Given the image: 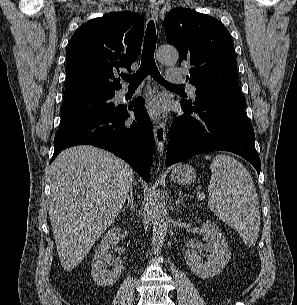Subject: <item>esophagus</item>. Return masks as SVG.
<instances>
[{
    "instance_id": "1",
    "label": "esophagus",
    "mask_w": 297,
    "mask_h": 305,
    "mask_svg": "<svg viewBox=\"0 0 297 305\" xmlns=\"http://www.w3.org/2000/svg\"><path fill=\"white\" fill-rule=\"evenodd\" d=\"M149 4L152 17L157 21L159 15V3L157 0H150ZM153 130L157 152L162 155L166 141V123L163 121L156 123Z\"/></svg>"
}]
</instances>
